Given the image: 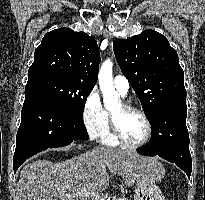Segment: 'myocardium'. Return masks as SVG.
I'll list each match as a JSON object with an SVG mask.
<instances>
[{"label":"myocardium","instance_id":"f54148a6","mask_svg":"<svg viewBox=\"0 0 205 200\" xmlns=\"http://www.w3.org/2000/svg\"><path fill=\"white\" fill-rule=\"evenodd\" d=\"M121 106H122L124 111L138 113L143 118V120L145 121V124H146V134H145V137L143 138V140L138 142V143L128 142L124 138L116 119L114 118V116L112 114H110V129H111V133H112L113 137L118 141L119 144H121L125 147H128V148H140V147L146 145L152 136V123H151L148 115L145 113V111L143 109H141L135 105H132L130 103L124 102L121 104Z\"/></svg>","mask_w":205,"mask_h":200}]
</instances>
